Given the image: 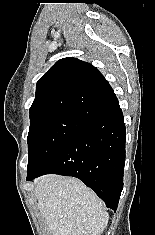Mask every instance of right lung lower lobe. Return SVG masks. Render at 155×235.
Listing matches in <instances>:
<instances>
[{
  "mask_svg": "<svg viewBox=\"0 0 155 235\" xmlns=\"http://www.w3.org/2000/svg\"><path fill=\"white\" fill-rule=\"evenodd\" d=\"M86 93L99 118L70 138L42 168L28 172L27 180L50 173L77 177L108 208L116 210L123 189L125 163L123 113L108 82L96 84Z\"/></svg>",
  "mask_w": 155,
  "mask_h": 235,
  "instance_id": "1",
  "label": "right lung lower lobe"
}]
</instances>
